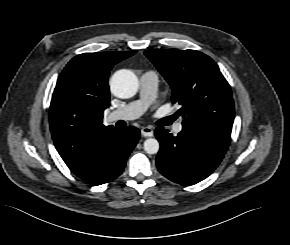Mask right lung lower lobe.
I'll list each match as a JSON object with an SVG mask.
<instances>
[{
	"instance_id": "98d812e1",
	"label": "right lung lower lobe",
	"mask_w": 290,
	"mask_h": 245,
	"mask_svg": "<svg viewBox=\"0 0 290 245\" xmlns=\"http://www.w3.org/2000/svg\"><path fill=\"white\" fill-rule=\"evenodd\" d=\"M139 138L140 131L136 127L115 129L91 157L70 170L93 186L110 182L123 172L126 160Z\"/></svg>"
}]
</instances>
